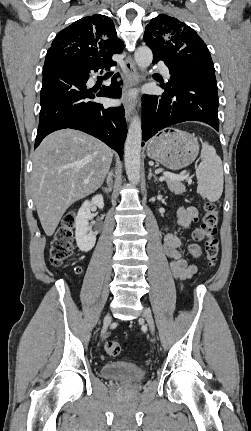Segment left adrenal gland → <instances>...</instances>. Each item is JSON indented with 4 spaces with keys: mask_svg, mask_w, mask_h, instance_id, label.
I'll list each match as a JSON object with an SVG mask.
<instances>
[{
    "mask_svg": "<svg viewBox=\"0 0 251 431\" xmlns=\"http://www.w3.org/2000/svg\"><path fill=\"white\" fill-rule=\"evenodd\" d=\"M154 177L155 181H157L156 175L152 172L151 168L149 169L148 180Z\"/></svg>",
    "mask_w": 251,
    "mask_h": 431,
    "instance_id": "1",
    "label": "left adrenal gland"
}]
</instances>
